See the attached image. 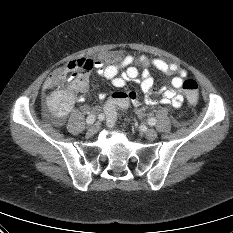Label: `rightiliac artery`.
Returning a JSON list of instances; mask_svg holds the SVG:
<instances>
[{
	"label": "right iliac artery",
	"mask_w": 233,
	"mask_h": 233,
	"mask_svg": "<svg viewBox=\"0 0 233 233\" xmlns=\"http://www.w3.org/2000/svg\"><path fill=\"white\" fill-rule=\"evenodd\" d=\"M86 122H87L88 125L93 124L95 122V116L94 115L88 116L87 119H86Z\"/></svg>",
	"instance_id": "82829eb1"
}]
</instances>
